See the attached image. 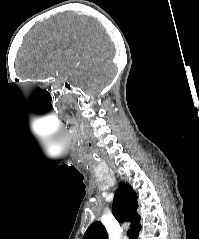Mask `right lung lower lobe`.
<instances>
[{
	"label": "right lung lower lobe",
	"mask_w": 199,
	"mask_h": 239,
	"mask_svg": "<svg viewBox=\"0 0 199 239\" xmlns=\"http://www.w3.org/2000/svg\"><path fill=\"white\" fill-rule=\"evenodd\" d=\"M141 230V225H139L135 230H134V236H135V239H138V234H139V231Z\"/></svg>",
	"instance_id": "98d812e1"
}]
</instances>
